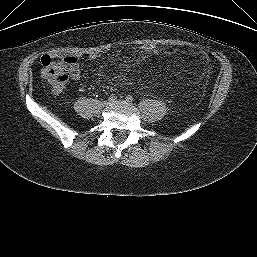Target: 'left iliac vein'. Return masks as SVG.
<instances>
[{
    "label": "left iliac vein",
    "mask_w": 257,
    "mask_h": 257,
    "mask_svg": "<svg viewBox=\"0 0 257 257\" xmlns=\"http://www.w3.org/2000/svg\"><path fill=\"white\" fill-rule=\"evenodd\" d=\"M118 102H122V103H123V102H126V101H124V100H121V101H118Z\"/></svg>",
    "instance_id": "1"
}]
</instances>
